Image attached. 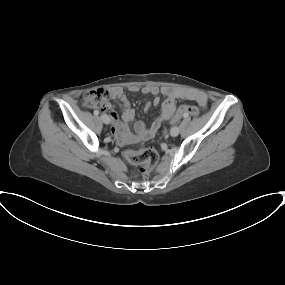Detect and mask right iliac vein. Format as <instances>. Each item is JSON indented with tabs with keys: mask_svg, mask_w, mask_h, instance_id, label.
Here are the masks:
<instances>
[{
	"mask_svg": "<svg viewBox=\"0 0 285 285\" xmlns=\"http://www.w3.org/2000/svg\"><path fill=\"white\" fill-rule=\"evenodd\" d=\"M101 120L103 121V123L105 124H109L110 123V118L107 114H102L101 115Z\"/></svg>",
	"mask_w": 285,
	"mask_h": 285,
	"instance_id": "right-iliac-vein-1",
	"label": "right iliac vein"
}]
</instances>
